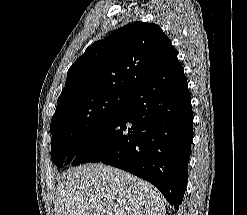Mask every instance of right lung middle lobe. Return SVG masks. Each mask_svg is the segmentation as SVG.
Returning a JSON list of instances; mask_svg holds the SVG:
<instances>
[{
	"label": "right lung middle lobe",
	"instance_id": "obj_1",
	"mask_svg": "<svg viewBox=\"0 0 247 215\" xmlns=\"http://www.w3.org/2000/svg\"><path fill=\"white\" fill-rule=\"evenodd\" d=\"M130 97L129 93L100 92L67 98L58 104L50 125L54 164L62 167L79 140L118 115Z\"/></svg>",
	"mask_w": 247,
	"mask_h": 215
}]
</instances>
